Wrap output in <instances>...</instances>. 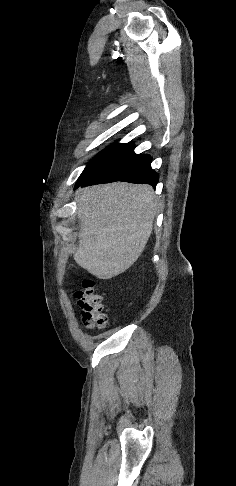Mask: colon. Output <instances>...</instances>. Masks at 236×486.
I'll return each instance as SVG.
<instances>
[{
    "label": "colon",
    "mask_w": 236,
    "mask_h": 486,
    "mask_svg": "<svg viewBox=\"0 0 236 486\" xmlns=\"http://www.w3.org/2000/svg\"><path fill=\"white\" fill-rule=\"evenodd\" d=\"M75 298L81 308L85 327L103 329L107 326L108 317L103 312L102 299L95 291L93 280L85 279L82 287L75 292Z\"/></svg>",
    "instance_id": "1"
}]
</instances>
